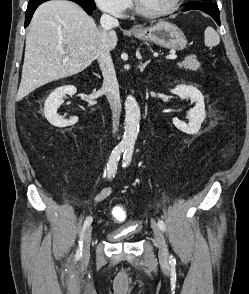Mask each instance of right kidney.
<instances>
[{
	"mask_svg": "<svg viewBox=\"0 0 249 294\" xmlns=\"http://www.w3.org/2000/svg\"><path fill=\"white\" fill-rule=\"evenodd\" d=\"M76 92V87L66 85L58 87L48 96L44 105V114L51 125L63 128L67 126H72L78 121L77 117L67 120L57 114L58 108L63 103V96L66 94L73 95Z\"/></svg>",
	"mask_w": 249,
	"mask_h": 294,
	"instance_id": "obj_1",
	"label": "right kidney"
}]
</instances>
